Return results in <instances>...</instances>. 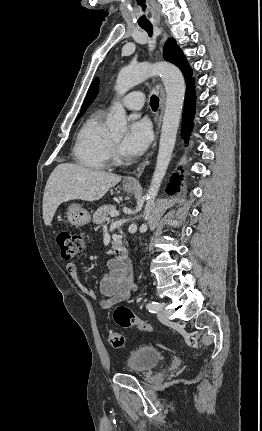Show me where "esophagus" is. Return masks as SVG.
<instances>
[{
    "instance_id": "esophagus-1",
    "label": "esophagus",
    "mask_w": 262,
    "mask_h": 431,
    "mask_svg": "<svg viewBox=\"0 0 262 431\" xmlns=\"http://www.w3.org/2000/svg\"><path fill=\"white\" fill-rule=\"evenodd\" d=\"M161 31H162L161 44H164V42L167 39L168 34H167V32L163 28H161ZM163 97H164V93L161 92V104H160V113L158 114V125H159V123L161 121V114H162L163 107H164V99H163ZM155 145H156V141L153 143L152 148H154ZM150 154H151V152L146 155L145 159L139 164V166L137 167V169L134 171L133 175L129 176L126 179V185H128V186H140L138 179H139L140 175L142 174V172H143V170H144V168H145V166L147 164V161H148V158H149Z\"/></svg>"
}]
</instances>
